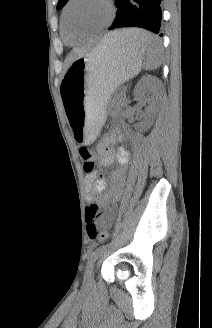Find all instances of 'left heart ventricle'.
Wrapping results in <instances>:
<instances>
[{
	"label": "left heart ventricle",
	"mask_w": 212,
	"mask_h": 328,
	"mask_svg": "<svg viewBox=\"0 0 212 328\" xmlns=\"http://www.w3.org/2000/svg\"><path fill=\"white\" fill-rule=\"evenodd\" d=\"M109 8L103 0H76L68 11L71 32H86L105 24Z\"/></svg>",
	"instance_id": "left-heart-ventricle-1"
}]
</instances>
